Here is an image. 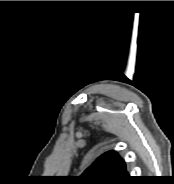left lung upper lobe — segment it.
Instances as JSON below:
<instances>
[{
    "mask_svg": "<svg viewBox=\"0 0 174 184\" xmlns=\"http://www.w3.org/2000/svg\"><path fill=\"white\" fill-rule=\"evenodd\" d=\"M82 184H123L132 180L125 162L115 151L101 155L79 177Z\"/></svg>",
    "mask_w": 174,
    "mask_h": 184,
    "instance_id": "left-lung-upper-lobe-1",
    "label": "left lung upper lobe"
}]
</instances>
